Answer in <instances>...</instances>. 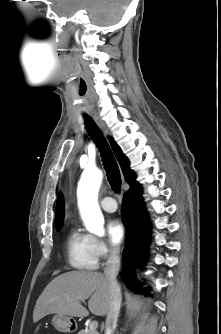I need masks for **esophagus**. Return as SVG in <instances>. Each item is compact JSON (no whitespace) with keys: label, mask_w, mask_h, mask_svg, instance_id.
<instances>
[{"label":"esophagus","mask_w":221,"mask_h":334,"mask_svg":"<svg viewBox=\"0 0 221 334\" xmlns=\"http://www.w3.org/2000/svg\"><path fill=\"white\" fill-rule=\"evenodd\" d=\"M95 119H96V121H97L99 127L105 132V134H107L108 131H107V129H106L104 123H103L97 116H95Z\"/></svg>","instance_id":"esophagus-1"}]
</instances>
